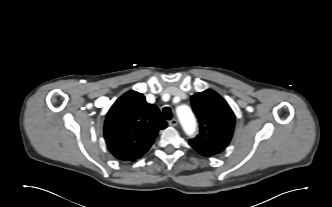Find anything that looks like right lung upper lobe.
<instances>
[{
	"mask_svg": "<svg viewBox=\"0 0 332 207\" xmlns=\"http://www.w3.org/2000/svg\"><path fill=\"white\" fill-rule=\"evenodd\" d=\"M159 109L143 94L128 91L107 113L104 136L111 153L122 161H135L151 147L158 131L165 129Z\"/></svg>",
	"mask_w": 332,
	"mask_h": 207,
	"instance_id": "right-lung-upper-lobe-1",
	"label": "right lung upper lobe"
}]
</instances>
